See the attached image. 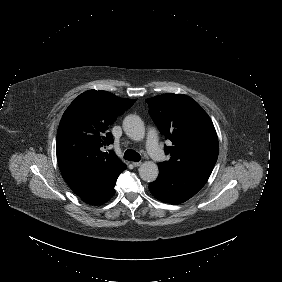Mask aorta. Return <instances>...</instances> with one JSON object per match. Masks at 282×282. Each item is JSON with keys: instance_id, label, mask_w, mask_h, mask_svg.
Wrapping results in <instances>:
<instances>
[{"instance_id": "obj_1", "label": "aorta", "mask_w": 282, "mask_h": 282, "mask_svg": "<svg viewBox=\"0 0 282 282\" xmlns=\"http://www.w3.org/2000/svg\"><path fill=\"white\" fill-rule=\"evenodd\" d=\"M123 130L130 139L135 141H140L145 136L144 122L138 115L126 116L123 120ZM158 174V166L152 161H146L139 167V175L146 182L155 181Z\"/></svg>"}]
</instances>
